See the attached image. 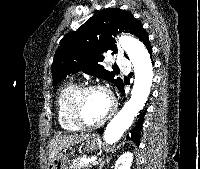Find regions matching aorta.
<instances>
[{"mask_svg": "<svg viewBox=\"0 0 200 169\" xmlns=\"http://www.w3.org/2000/svg\"><path fill=\"white\" fill-rule=\"evenodd\" d=\"M119 43L133 64L135 79L130 99L104 131V140L108 144L117 142L124 132L130 128L134 118L143 109L153 82L152 62L144 44L131 36H122Z\"/></svg>", "mask_w": 200, "mask_h": 169, "instance_id": "aorta-1", "label": "aorta"}]
</instances>
